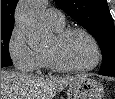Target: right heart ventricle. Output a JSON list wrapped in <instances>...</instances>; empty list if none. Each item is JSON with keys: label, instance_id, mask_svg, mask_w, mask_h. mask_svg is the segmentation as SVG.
Masks as SVG:
<instances>
[{"label": "right heart ventricle", "instance_id": "obj_1", "mask_svg": "<svg viewBox=\"0 0 115 99\" xmlns=\"http://www.w3.org/2000/svg\"><path fill=\"white\" fill-rule=\"evenodd\" d=\"M52 29L55 31V32H59L60 30L63 29V27L61 28H53ZM40 54V66L39 67H48V62H47V59H46V56H45V52H41L39 53Z\"/></svg>", "mask_w": 115, "mask_h": 99}]
</instances>
